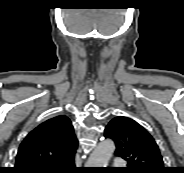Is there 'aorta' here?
Returning <instances> with one entry per match:
<instances>
[{"instance_id": "1", "label": "aorta", "mask_w": 184, "mask_h": 173, "mask_svg": "<svg viewBox=\"0 0 184 173\" xmlns=\"http://www.w3.org/2000/svg\"><path fill=\"white\" fill-rule=\"evenodd\" d=\"M114 151L115 144L111 139L101 141L87 160L88 167H107Z\"/></svg>"}]
</instances>
